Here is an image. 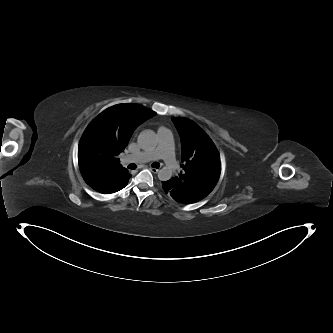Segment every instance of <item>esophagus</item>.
<instances>
[{"label": "esophagus", "mask_w": 333, "mask_h": 333, "mask_svg": "<svg viewBox=\"0 0 333 333\" xmlns=\"http://www.w3.org/2000/svg\"><path fill=\"white\" fill-rule=\"evenodd\" d=\"M149 170L154 174H157L159 172V169L153 167H149Z\"/></svg>", "instance_id": "obj_1"}]
</instances>
